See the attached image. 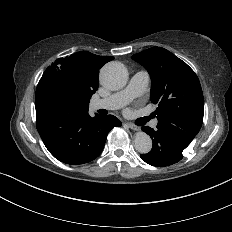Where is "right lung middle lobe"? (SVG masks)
Listing matches in <instances>:
<instances>
[{"mask_svg":"<svg viewBox=\"0 0 232 232\" xmlns=\"http://www.w3.org/2000/svg\"><path fill=\"white\" fill-rule=\"evenodd\" d=\"M37 89L46 101L76 110H88L89 99L93 94L86 92L70 76L49 67L43 73Z\"/></svg>","mask_w":232,"mask_h":232,"instance_id":"1","label":"right lung middle lobe"}]
</instances>
